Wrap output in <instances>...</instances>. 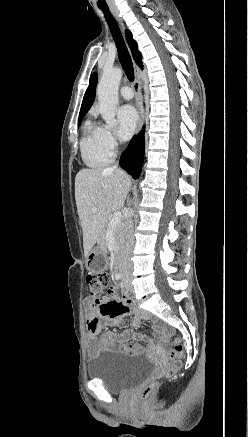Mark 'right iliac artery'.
<instances>
[{
  "label": "right iliac artery",
  "mask_w": 248,
  "mask_h": 437,
  "mask_svg": "<svg viewBox=\"0 0 248 437\" xmlns=\"http://www.w3.org/2000/svg\"><path fill=\"white\" fill-rule=\"evenodd\" d=\"M120 277H121V275H120L119 273H117V274L115 275V278H116V279H120Z\"/></svg>",
  "instance_id": "82829eb1"
}]
</instances>
